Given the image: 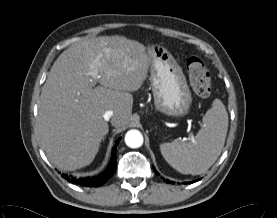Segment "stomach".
<instances>
[{
	"instance_id": "0dacf381",
	"label": "stomach",
	"mask_w": 277,
	"mask_h": 218,
	"mask_svg": "<svg viewBox=\"0 0 277 218\" xmlns=\"http://www.w3.org/2000/svg\"><path fill=\"white\" fill-rule=\"evenodd\" d=\"M150 49V85L157 111L180 118L188 114L192 96L181 67L173 56L160 46Z\"/></svg>"
}]
</instances>
